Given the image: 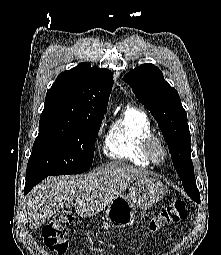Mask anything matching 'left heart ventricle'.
Wrapping results in <instances>:
<instances>
[{"mask_svg": "<svg viewBox=\"0 0 221 255\" xmlns=\"http://www.w3.org/2000/svg\"><path fill=\"white\" fill-rule=\"evenodd\" d=\"M157 155L160 156V152H157Z\"/></svg>", "mask_w": 221, "mask_h": 255, "instance_id": "left-heart-ventricle-1", "label": "left heart ventricle"}]
</instances>
